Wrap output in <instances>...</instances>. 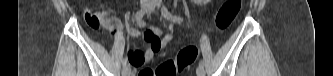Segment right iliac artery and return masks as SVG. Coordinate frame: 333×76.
<instances>
[{
    "mask_svg": "<svg viewBox=\"0 0 333 76\" xmlns=\"http://www.w3.org/2000/svg\"><path fill=\"white\" fill-rule=\"evenodd\" d=\"M160 3H161L160 0H154L150 4H151V7H155V6H159ZM144 14H145V10L141 9L140 11H138L136 13V20L137 21H143L142 18L144 16ZM122 65H123V67H125L127 65V59L126 58H123Z\"/></svg>",
    "mask_w": 333,
    "mask_h": 76,
    "instance_id": "obj_1",
    "label": "right iliac artery"
}]
</instances>
